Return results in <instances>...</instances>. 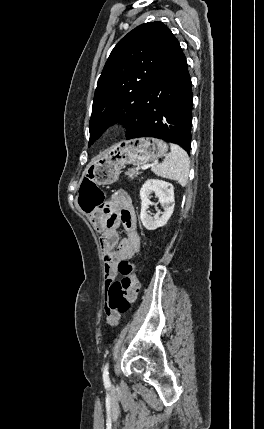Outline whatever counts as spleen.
Segmentation results:
<instances>
[{
	"label": "spleen",
	"instance_id": "1",
	"mask_svg": "<svg viewBox=\"0 0 264 429\" xmlns=\"http://www.w3.org/2000/svg\"><path fill=\"white\" fill-rule=\"evenodd\" d=\"M171 152L161 164L152 166V171L162 178L175 180L182 187L187 184L190 160L180 146L170 143Z\"/></svg>",
	"mask_w": 264,
	"mask_h": 429
}]
</instances>
